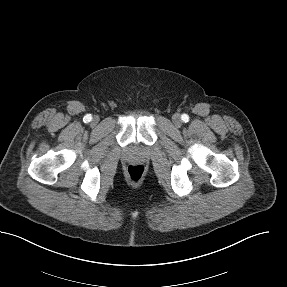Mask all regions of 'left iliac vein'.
I'll list each match as a JSON object with an SVG mask.
<instances>
[{"mask_svg":"<svg viewBox=\"0 0 287 287\" xmlns=\"http://www.w3.org/2000/svg\"><path fill=\"white\" fill-rule=\"evenodd\" d=\"M172 121L176 127H180L182 125L181 117L179 114H174L172 116Z\"/></svg>","mask_w":287,"mask_h":287,"instance_id":"obj_1","label":"left iliac vein"}]
</instances>
